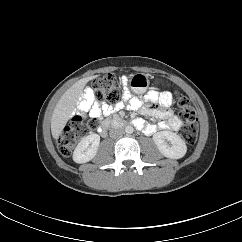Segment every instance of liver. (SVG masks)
Listing matches in <instances>:
<instances>
[{
    "mask_svg": "<svg viewBox=\"0 0 242 242\" xmlns=\"http://www.w3.org/2000/svg\"><path fill=\"white\" fill-rule=\"evenodd\" d=\"M96 77L97 76H91L79 80L61 97L54 109L51 119V133L54 139L57 140L61 135L76 107L77 100L86 83Z\"/></svg>",
    "mask_w": 242,
    "mask_h": 242,
    "instance_id": "liver-1",
    "label": "liver"
}]
</instances>
